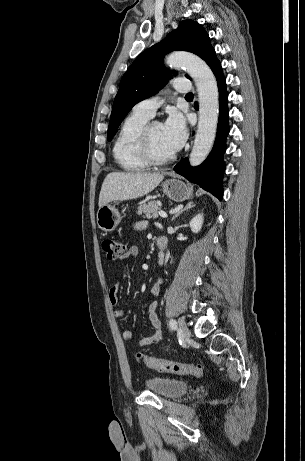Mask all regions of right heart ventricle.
<instances>
[{
    "mask_svg": "<svg viewBox=\"0 0 305 461\" xmlns=\"http://www.w3.org/2000/svg\"><path fill=\"white\" fill-rule=\"evenodd\" d=\"M149 117L133 111L122 123L113 145V155L117 164L125 171H142L148 167L141 157L137 139Z\"/></svg>",
    "mask_w": 305,
    "mask_h": 461,
    "instance_id": "e07e8e85",
    "label": "right heart ventricle"
}]
</instances>
